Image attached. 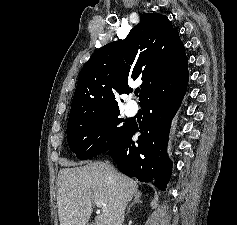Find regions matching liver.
Segmentation results:
<instances>
[{
	"mask_svg": "<svg viewBox=\"0 0 237 225\" xmlns=\"http://www.w3.org/2000/svg\"><path fill=\"white\" fill-rule=\"evenodd\" d=\"M138 192L137 181L102 161L63 168L58 174L57 192L60 225H86L95 200L106 208L95 217V225H122L126 205Z\"/></svg>",
	"mask_w": 237,
	"mask_h": 225,
	"instance_id": "liver-1",
	"label": "liver"
}]
</instances>
